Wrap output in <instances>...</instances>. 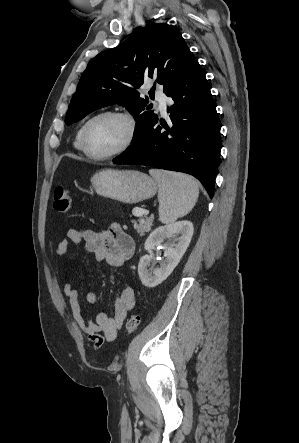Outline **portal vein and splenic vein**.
I'll return each mask as SVG.
<instances>
[{"label": "portal vein and splenic vein", "instance_id": "1", "mask_svg": "<svg viewBox=\"0 0 299 443\" xmlns=\"http://www.w3.org/2000/svg\"><path fill=\"white\" fill-rule=\"evenodd\" d=\"M149 212L148 211H144V210H142L138 215H140V214H145V215H147Z\"/></svg>", "mask_w": 299, "mask_h": 443}]
</instances>
